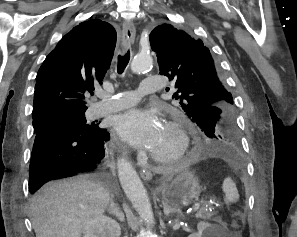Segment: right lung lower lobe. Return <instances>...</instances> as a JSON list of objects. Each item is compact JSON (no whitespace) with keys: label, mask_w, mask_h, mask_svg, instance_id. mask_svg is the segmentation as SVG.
Listing matches in <instances>:
<instances>
[{"label":"right lung lower lobe","mask_w":297,"mask_h":237,"mask_svg":"<svg viewBox=\"0 0 297 237\" xmlns=\"http://www.w3.org/2000/svg\"><path fill=\"white\" fill-rule=\"evenodd\" d=\"M29 170V192L34 194L43 184L78 174L105 173L104 141L109 133L97 127L91 133L75 129L64 119H50L36 131Z\"/></svg>","instance_id":"obj_1"}]
</instances>
